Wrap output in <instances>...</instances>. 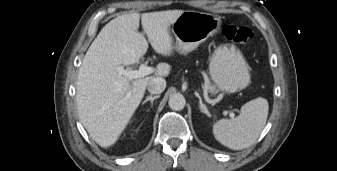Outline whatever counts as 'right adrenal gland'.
<instances>
[{
  "instance_id": "1",
  "label": "right adrenal gland",
  "mask_w": 337,
  "mask_h": 171,
  "mask_svg": "<svg viewBox=\"0 0 337 171\" xmlns=\"http://www.w3.org/2000/svg\"><path fill=\"white\" fill-rule=\"evenodd\" d=\"M159 95L156 96H148L143 102L142 104H145L146 102L150 101L151 102V106H153V102L155 99L159 98Z\"/></svg>"
}]
</instances>
